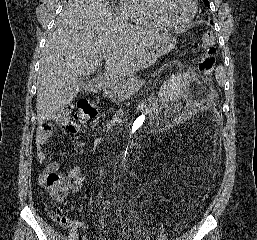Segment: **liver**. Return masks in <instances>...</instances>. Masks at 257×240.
<instances>
[{"label":"liver","mask_w":257,"mask_h":240,"mask_svg":"<svg viewBox=\"0 0 257 240\" xmlns=\"http://www.w3.org/2000/svg\"><path fill=\"white\" fill-rule=\"evenodd\" d=\"M167 34L130 25L104 0H68L42 51L37 78L39 121L52 119L79 92L81 75L105 59V77L114 82Z\"/></svg>","instance_id":"1"}]
</instances>
